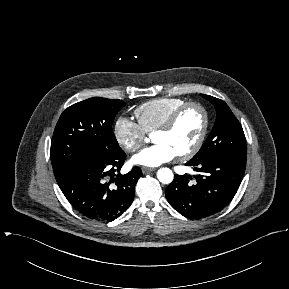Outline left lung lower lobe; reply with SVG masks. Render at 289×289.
I'll return each mask as SVG.
<instances>
[{"label": "left lung lower lobe", "mask_w": 289, "mask_h": 289, "mask_svg": "<svg viewBox=\"0 0 289 289\" xmlns=\"http://www.w3.org/2000/svg\"><path fill=\"white\" fill-rule=\"evenodd\" d=\"M186 165L199 172L196 183L189 182L190 175H175L165 195L180 214L199 219L221 211L231 202L245 172L246 154H222Z\"/></svg>", "instance_id": "0a47b994"}]
</instances>
